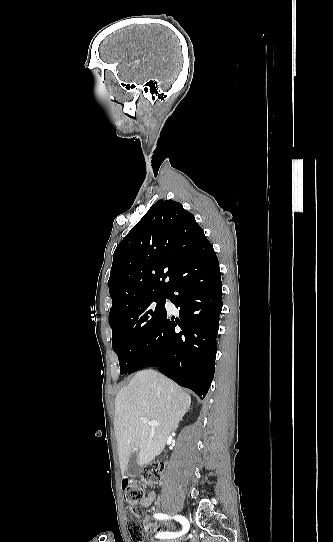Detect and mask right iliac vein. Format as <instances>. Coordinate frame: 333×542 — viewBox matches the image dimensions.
<instances>
[{"label": "right iliac vein", "mask_w": 333, "mask_h": 542, "mask_svg": "<svg viewBox=\"0 0 333 542\" xmlns=\"http://www.w3.org/2000/svg\"><path fill=\"white\" fill-rule=\"evenodd\" d=\"M163 542H180V539L177 538V539H173V540H165Z\"/></svg>", "instance_id": "63e3f726"}]
</instances>
